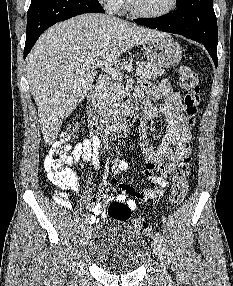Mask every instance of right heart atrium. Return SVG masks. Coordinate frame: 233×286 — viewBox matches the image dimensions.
<instances>
[{"label": "right heart atrium", "mask_w": 233, "mask_h": 286, "mask_svg": "<svg viewBox=\"0 0 233 286\" xmlns=\"http://www.w3.org/2000/svg\"><path fill=\"white\" fill-rule=\"evenodd\" d=\"M101 1L105 3V6L109 11H114L120 8L124 0H101Z\"/></svg>", "instance_id": "obj_1"}]
</instances>
